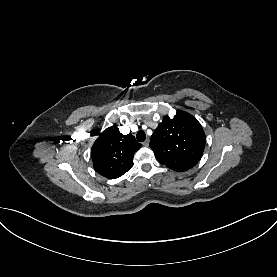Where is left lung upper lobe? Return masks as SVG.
Instances as JSON below:
<instances>
[{
    "instance_id": "obj_1",
    "label": "left lung upper lobe",
    "mask_w": 277,
    "mask_h": 277,
    "mask_svg": "<svg viewBox=\"0 0 277 277\" xmlns=\"http://www.w3.org/2000/svg\"><path fill=\"white\" fill-rule=\"evenodd\" d=\"M205 143L201 124L189 113L178 110L174 118L164 117L151 136L150 148L162 165L182 172L200 161Z\"/></svg>"
}]
</instances>
